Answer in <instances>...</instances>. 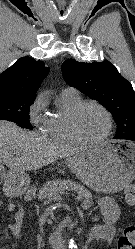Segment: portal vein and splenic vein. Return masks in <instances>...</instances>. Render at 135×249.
Wrapping results in <instances>:
<instances>
[{"label":"portal vein and splenic vein","instance_id":"portal-vein-and-splenic-vein-1","mask_svg":"<svg viewBox=\"0 0 135 249\" xmlns=\"http://www.w3.org/2000/svg\"><path fill=\"white\" fill-rule=\"evenodd\" d=\"M61 199V197L60 196H58L57 198H55L54 200H60ZM82 197L81 196H76V197H74V200H76V201H82Z\"/></svg>","mask_w":135,"mask_h":249}]
</instances>
